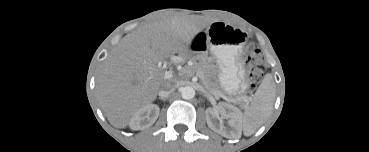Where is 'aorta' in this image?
Masks as SVG:
<instances>
[{
  "mask_svg": "<svg viewBox=\"0 0 369 152\" xmlns=\"http://www.w3.org/2000/svg\"><path fill=\"white\" fill-rule=\"evenodd\" d=\"M181 96L185 100L193 99L195 96V90L190 86L183 87L181 89Z\"/></svg>",
  "mask_w": 369,
  "mask_h": 152,
  "instance_id": "obj_1",
  "label": "aorta"
}]
</instances>
